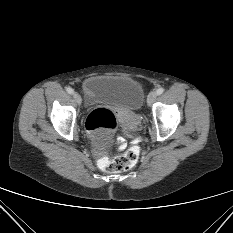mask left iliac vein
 Returning <instances> with one entry per match:
<instances>
[{
  "label": "left iliac vein",
  "instance_id": "left-iliac-vein-1",
  "mask_svg": "<svg viewBox=\"0 0 233 233\" xmlns=\"http://www.w3.org/2000/svg\"><path fill=\"white\" fill-rule=\"evenodd\" d=\"M156 97H157V92L151 91L147 98V104L151 105L156 100Z\"/></svg>",
  "mask_w": 233,
  "mask_h": 233
}]
</instances>
